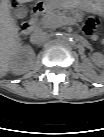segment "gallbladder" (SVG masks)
Wrapping results in <instances>:
<instances>
[{"label":"gallbladder","mask_w":104,"mask_h":137,"mask_svg":"<svg viewBox=\"0 0 104 137\" xmlns=\"http://www.w3.org/2000/svg\"><path fill=\"white\" fill-rule=\"evenodd\" d=\"M11 14L17 18H24L27 15V8L25 6H20L11 11Z\"/></svg>","instance_id":"obj_1"}]
</instances>
